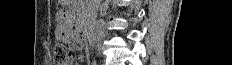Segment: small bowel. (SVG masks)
<instances>
[{"instance_id":"c3829d8e","label":"small bowel","mask_w":232,"mask_h":65,"mask_svg":"<svg viewBox=\"0 0 232 65\" xmlns=\"http://www.w3.org/2000/svg\"><path fill=\"white\" fill-rule=\"evenodd\" d=\"M76 12H57L56 21H67L68 17H76ZM74 23H59V26L54 32V37H58L60 45H69L70 47H81L82 43L76 38V32H73ZM62 65H73V60L68 58Z\"/></svg>"}]
</instances>
